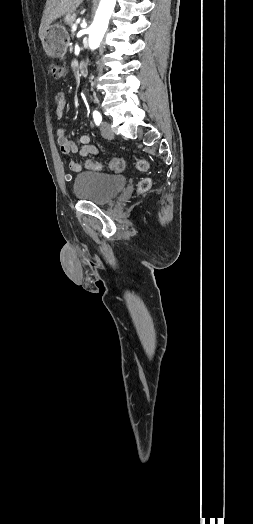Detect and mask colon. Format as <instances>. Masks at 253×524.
I'll use <instances>...</instances> for the list:
<instances>
[{
	"label": "colon",
	"instance_id": "obj_1",
	"mask_svg": "<svg viewBox=\"0 0 253 524\" xmlns=\"http://www.w3.org/2000/svg\"><path fill=\"white\" fill-rule=\"evenodd\" d=\"M49 72L51 74V77L53 80L55 81H59L60 79L63 78V76L66 74L67 72V68L64 64L62 63H59V62H52L50 65H49ZM136 166L138 169L140 170H146L148 168V163L144 160H139L137 161L136 163ZM86 168L87 169H90V170H102L103 168H105L104 165L98 163V162H94V161H87L86 162ZM107 168H109L111 171L113 172H122L124 169H125V160L121 157H115V158H112L108 165H107ZM151 186V181L149 178H143L140 180L139 184H138V191L139 192H145L147 191Z\"/></svg>",
	"mask_w": 253,
	"mask_h": 524
}]
</instances>
